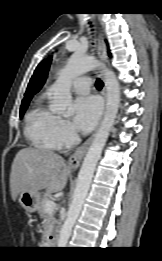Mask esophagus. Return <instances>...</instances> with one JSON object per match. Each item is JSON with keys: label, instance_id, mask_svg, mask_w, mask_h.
Masks as SVG:
<instances>
[{"label": "esophagus", "instance_id": "esophagus-1", "mask_svg": "<svg viewBox=\"0 0 162 261\" xmlns=\"http://www.w3.org/2000/svg\"><path fill=\"white\" fill-rule=\"evenodd\" d=\"M97 55L104 65H106L108 63L106 44L104 42L102 33H100V35H99ZM100 75L102 76L103 81H104V87L102 90V94L104 96V99L106 100V83H105V77H104V70L100 71ZM100 123H101V121L98 123L93 134L80 147H78L77 150L74 152V154L71 155V157L69 158L68 164L72 169H77L80 166V163H81L89 145L91 144V142L93 141V139L96 135V132L100 126Z\"/></svg>", "mask_w": 162, "mask_h": 261}]
</instances>
